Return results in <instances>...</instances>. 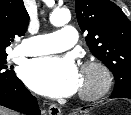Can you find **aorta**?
<instances>
[{"label":"aorta","mask_w":131,"mask_h":115,"mask_svg":"<svg viewBox=\"0 0 131 115\" xmlns=\"http://www.w3.org/2000/svg\"><path fill=\"white\" fill-rule=\"evenodd\" d=\"M70 19L71 14L67 9L55 10L50 15V22L57 27L67 24Z\"/></svg>","instance_id":"762f6f07"}]
</instances>
